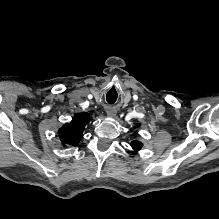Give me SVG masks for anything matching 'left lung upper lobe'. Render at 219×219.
<instances>
[{
	"label": "left lung upper lobe",
	"mask_w": 219,
	"mask_h": 219,
	"mask_svg": "<svg viewBox=\"0 0 219 219\" xmlns=\"http://www.w3.org/2000/svg\"><path fill=\"white\" fill-rule=\"evenodd\" d=\"M140 125L138 124L137 127H139ZM143 144L139 141H132L131 142V147L135 150V151H139L142 148Z\"/></svg>",
	"instance_id": "left-lung-upper-lobe-1"
}]
</instances>
